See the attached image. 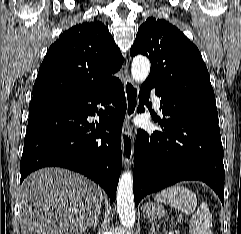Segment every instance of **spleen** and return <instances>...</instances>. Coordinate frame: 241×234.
Segmentation results:
<instances>
[{"mask_svg": "<svg viewBox=\"0 0 241 234\" xmlns=\"http://www.w3.org/2000/svg\"><path fill=\"white\" fill-rule=\"evenodd\" d=\"M155 200L191 214L189 223L191 234H212V214L207 203L202 202L197 207L196 195L188 188L180 184L173 185L157 193Z\"/></svg>", "mask_w": 241, "mask_h": 234, "instance_id": "1", "label": "spleen"}]
</instances>
